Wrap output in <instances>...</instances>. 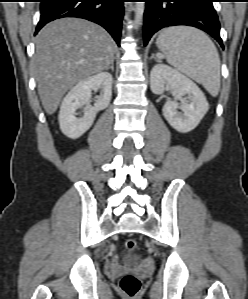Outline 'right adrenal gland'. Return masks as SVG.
<instances>
[{
  "label": "right adrenal gland",
  "mask_w": 248,
  "mask_h": 299,
  "mask_svg": "<svg viewBox=\"0 0 248 299\" xmlns=\"http://www.w3.org/2000/svg\"><path fill=\"white\" fill-rule=\"evenodd\" d=\"M109 69H111L112 72L114 71V59L112 60L111 65L106 68V71Z\"/></svg>",
  "instance_id": "right-adrenal-gland-1"
}]
</instances>
